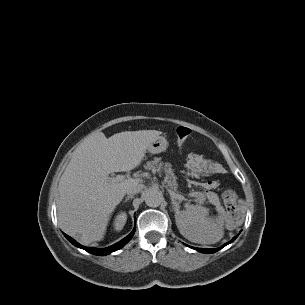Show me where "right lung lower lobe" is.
<instances>
[{
    "label": "right lung lower lobe",
    "mask_w": 305,
    "mask_h": 305,
    "mask_svg": "<svg viewBox=\"0 0 305 305\" xmlns=\"http://www.w3.org/2000/svg\"><path fill=\"white\" fill-rule=\"evenodd\" d=\"M134 232H135V229L127 237L122 239L120 242H118V243H116V244H114L110 247H107L105 249H96V248H92V247H84V246L80 245L79 243H77L70 236L66 235L65 233H64V235L76 247L84 249L85 251H87L91 254L103 256V255L110 254L111 252H114V251L122 248L132 238V236L134 235Z\"/></svg>",
    "instance_id": "obj_1"
}]
</instances>
